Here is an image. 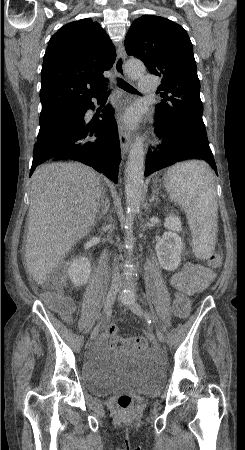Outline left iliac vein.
I'll return each mask as SVG.
<instances>
[{"instance_id":"1","label":"left iliac vein","mask_w":245,"mask_h":450,"mask_svg":"<svg viewBox=\"0 0 245 450\" xmlns=\"http://www.w3.org/2000/svg\"><path fill=\"white\" fill-rule=\"evenodd\" d=\"M127 306L137 316L142 317L144 315L141 306L136 301H134V300L129 301L127 303ZM156 335L160 342H164V336L160 330H158V329L156 330Z\"/></svg>"}]
</instances>
